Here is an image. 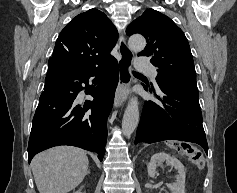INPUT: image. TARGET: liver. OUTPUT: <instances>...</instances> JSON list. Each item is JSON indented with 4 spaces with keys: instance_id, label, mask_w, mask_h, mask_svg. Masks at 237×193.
<instances>
[{
    "instance_id": "obj_1",
    "label": "liver",
    "mask_w": 237,
    "mask_h": 193,
    "mask_svg": "<svg viewBox=\"0 0 237 193\" xmlns=\"http://www.w3.org/2000/svg\"><path fill=\"white\" fill-rule=\"evenodd\" d=\"M86 152L72 146H58L37 154L32 172L39 193H68L88 172Z\"/></svg>"
}]
</instances>
